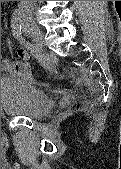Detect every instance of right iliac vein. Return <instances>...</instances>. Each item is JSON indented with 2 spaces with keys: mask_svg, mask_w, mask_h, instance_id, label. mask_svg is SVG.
<instances>
[{
  "mask_svg": "<svg viewBox=\"0 0 121 169\" xmlns=\"http://www.w3.org/2000/svg\"><path fill=\"white\" fill-rule=\"evenodd\" d=\"M23 26L25 30L31 34L36 42H38L40 45L44 44L43 33L31 18H24Z\"/></svg>",
  "mask_w": 121,
  "mask_h": 169,
  "instance_id": "63e3f726",
  "label": "right iliac vein"
}]
</instances>
